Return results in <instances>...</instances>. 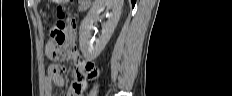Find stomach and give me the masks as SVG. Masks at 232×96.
<instances>
[{"mask_svg": "<svg viewBox=\"0 0 232 96\" xmlns=\"http://www.w3.org/2000/svg\"><path fill=\"white\" fill-rule=\"evenodd\" d=\"M58 3H65L67 0H57Z\"/></svg>", "mask_w": 232, "mask_h": 96, "instance_id": "obj_1", "label": "stomach"}]
</instances>
